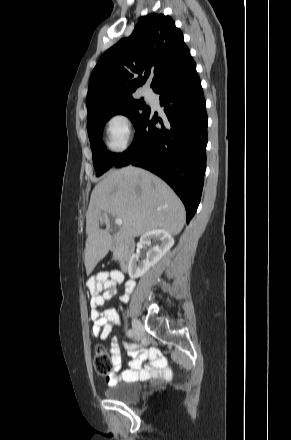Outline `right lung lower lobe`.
<instances>
[{"label":"right lung lower lobe","instance_id":"98d812e1","mask_svg":"<svg viewBox=\"0 0 291 440\" xmlns=\"http://www.w3.org/2000/svg\"><path fill=\"white\" fill-rule=\"evenodd\" d=\"M155 92L165 115L150 109L115 166L132 164L165 180L183 201L189 223L200 203L207 145V113L196 65Z\"/></svg>","mask_w":291,"mask_h":440}]
</instances>
